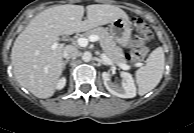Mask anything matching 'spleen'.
<instances>
[{
    "label": "spleen",
    "mask_w": 194,
    "mask_h": 133,
    "mask_svg": "<svg viewBox=\"0 0 194 133\" xmlns=\"http://www.w3.org/2000/svg\"><path fill=\"white\" fill-rule=\"evenodd\" d=\"M164 66L163 48L158 47L149 55L146 64L135 73L139 95H145L159 84L163 76Z\"/></svg>",
    "instance_id": "3e777b00"
}]
</instances>
